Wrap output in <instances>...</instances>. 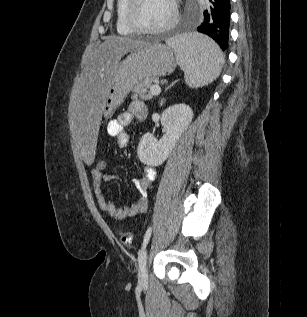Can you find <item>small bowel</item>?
<instances>
[{"instance_id": "c3829d8e", "label": "small bowel", "mask_w": 307, "mask_h": 317, "mask_svg": "<svg viewBox=\"0 0 307 317\" xmlns=\"http://www.w3.org/2000/svg\"><path fill=\"white\" fill-rule=\"evenodd\" d=\"M146 112V107L142 102L134 101L130 104L128 111L121 113L116 119L108 123L107 132L111 137L116 138L119 147L124 148L129 143V135L124 130V127L130 125L133 118L143 120L146 117ZM90 176L99 208L114 220L122 221L142 214L147 210V190L156 178V170L153 167L144 166L142 175L134 179L133 183L138 190L139 197L134 204L125 208H119L114 205L102 192V184L115 179L113 174L93 169Z\"/></svg>"}]
</instances>
